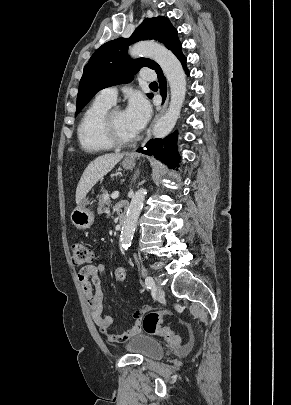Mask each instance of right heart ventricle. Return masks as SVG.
<instances>
[{"instance_id":"obj_1","label":"right heart ventricle","mask_w":291,"mask_h":405,"mask_svg":"<svg viewBox=\"0 0 291 405\" xmlns=\"http://www.w3.org/2000/svg\"><path fill=\"white\" fill-rule=\"evenodd\" d=\"M112 104L96 98L84 111L77 128L80 147L88 153L109 151L113 146L102 130L103 118Z\"/></svg>"}]
</instances>
